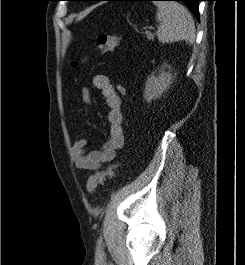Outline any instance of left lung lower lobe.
Instances as JSON below:
<instances>
[{
	"label": "left lung lower lobe",
	"instance_id": "1",
	"mask_svg": "<svg viewBox=\"0 0 245 265\" xmlns=\"http://www.w3.org/2000/svg\"><path fill=\"white\" fill-rule=\"evenodd\" d=\"M82 1H122V0H82ZM147 1H155V0H147ZM174 1L184 2L191 9V11L194 13L196 18L197 19L199 18V11H198L199 1L203 0H174Z\"/></svg>",
	"mask_w": 245,
	"mask_h": 265
}]
</instances>
